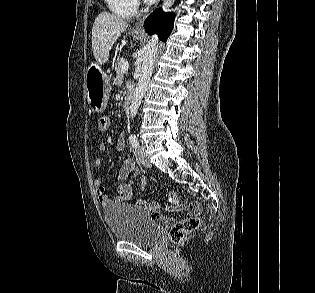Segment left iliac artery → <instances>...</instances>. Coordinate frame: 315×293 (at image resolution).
Listing matches in <instances>:
<instances>
[{
    "instance_id": "left-iliac-artery-1",
    "label": "left iliac artery",
    "mask_w": 315,
    "mask_h": 293,
    "mask_svg": "<svg viewBox=\"0 0 315 293\" xmlns=\"http://www.w3.org/2000/svg\"><path fill=\"white\" fill-rule=\"evenodd\" d=\"M129 142L133 148H135V149L138 148L139 142H138L137 136L135 134H131L129 136Z\"/></svg>"
}]
</instances>
